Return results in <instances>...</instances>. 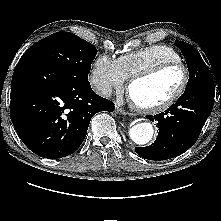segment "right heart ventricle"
Masks as SVG:
<instances>
[{
	"label": "right heart ventricle",
	"instance_id": "e07e8e85",
	"mask_svg": "<svg viewBox=\"0 0 221 221\" xmlns=\"http://www.w3.org/2000/svg\"><path fill=\"white\" fill-rule=\"evenodd\" d=\"M166 61H181V56L174 48L164 44H153L136 51L127 52L117 60L126 79Z\"/></svg>",
	"mask_w": 221,
	"mask_h": 221
}]
</instances>
